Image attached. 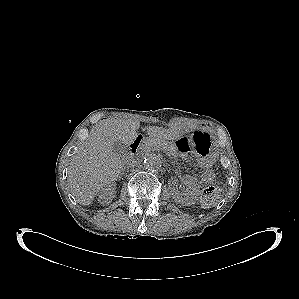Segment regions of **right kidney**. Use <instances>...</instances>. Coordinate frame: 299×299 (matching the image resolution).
<instances>
[{"label": "right kidney", "instance_id": "right-kidney-1", "mask_svg": "<svg viewBox=\"0 0 299 299\" xmlns=\"http://www.w3.org/2000/svg\"><path fill=\"white\" fill-rule=\"evenodd\" d=\"M115 189L116 186L114 184H110L101 188L100 192L98 193V201L101 204H109L115 197Z\"/></svg>", "mask_w": 299, "mask_h": 299}]
</instances>
